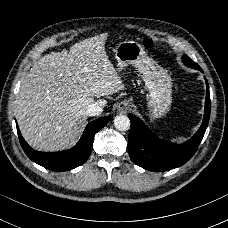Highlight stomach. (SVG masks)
I'll return each instance as SVG.
<instances>
[{
  "label": "stomach",
  "mask_w": 228,
  "mask_h": 228,
  "mask_svg": "<svg viewBox=\"0 0 228 228\" xmlns=\"http://www.w3.org/2000/svg\"><path fill=\"white\" fill-rule=\"evenodd\" d=\"M118 70L132 65L137 69L149 91V107L153 116H162L171 104V77L157 68L143 45L137 41L120 42L114 51ZM127 103V101H123Z\"/></svg>",
  "instance_id": "obj_1"
}]
</instances>
